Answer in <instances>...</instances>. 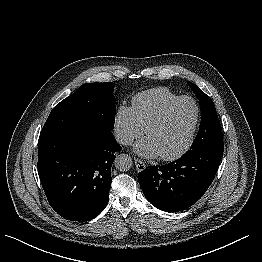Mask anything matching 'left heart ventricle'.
<instances>
[{
  "instance_id": "obj_1",
  "label": "left heart ventricle",
  "mask_w": 262,
  "mask_h": 262,
  "mask_svg": "<svg viewBox=\"0 0 262 262\" xmlns=\"http://www.w3.org/2000/svg\"><path fill=\"white\" fill-rule=\"evenodd\" d=\"M196 108L185 100L178 103L162 124L153 128L148 136L155 142L160 155H169L179 150L186 142L193 126Z\"/></svg>"
}]
</instances>
